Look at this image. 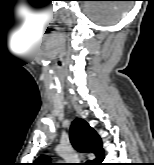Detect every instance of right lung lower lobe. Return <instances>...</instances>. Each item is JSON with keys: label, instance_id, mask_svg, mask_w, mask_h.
I'll return each mask as SVG.
<instances>
[{"label": "right lung lower lobe", "instance_id": "98d812e1", "mask_svg": "<svg viewBox=\"0 0 154 165\" xmlns=\"http://www.w3.org/2000/svg\"><path fill=\"white\" fill-rule=\"evenodd\" d=\"M103 159H104V151L102 149V144H101L100 149H99V152L96 155V159L93 160V162L91 163V165H104L102 163Z\"/></svg>", "mask_w": 154, "mask_h": 165}]
</instances>
